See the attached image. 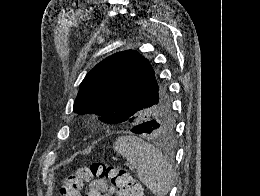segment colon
<instances>
[{"label": "colon", "mask_w": 260, "mask_h": 196, "mask_svg": "<svg viewBox=\"0 0 260 196\" xmlns=\"http://www.w3.org/2000/svg\"><path fill=\"white\" fill-rule=\"evenodd\" d=\"M108 181L119 192L128 191L134 182L129 178L126 168L104 163L81 166L75 172L67 174L60 186V196H81L86 183Z\"/></svg>", "instance_id": "obj_1"}]
</instances>
